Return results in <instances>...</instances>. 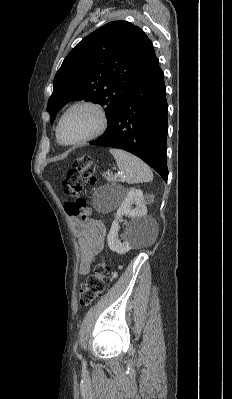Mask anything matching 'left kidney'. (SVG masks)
<instances>
[{"label":"left kidney","instance_id":"1","mask_svg":"<svg viewBox=\"0 0 232 399\" xmlns=\"http://www.w3.org/2000/svg\"><path fill=\"white\" fill-rule=\"evenodd\" d=\"M132 203H136V207L132 209ZM124 213L130 215L131 221H129L124 235H122L124 241L118 239L119 223L118 217H122ZM152 229L151 219L147 217V207L144 203V196L142 190H134L131 188L125 196V200L122 201L120 207L116 211V219L112 221L110 231L107 235V241L112 251L117 253H126L129 249H132L135 243H142L144 237L148 235Z\"/></svg>","mask_w":232,"mask_h":399}]
</instances>
